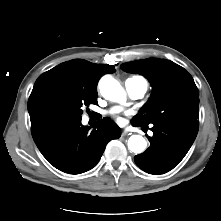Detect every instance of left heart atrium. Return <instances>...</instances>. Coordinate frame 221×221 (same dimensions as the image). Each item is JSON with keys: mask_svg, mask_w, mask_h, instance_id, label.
Segmentation results:
<instances>
[{"mask_svg": "<svg viewBox=\"0 0 221 221\" xmlns=\"http://www.w3.org/2000/svg\"><path fill=\"white\" fill-rule=\"evenodd\" d=\"M118 121H121V118L120 117H117Z\"/></svg>", "mask_w": 221, "mask_h": 221, "instance_id": "39dd6f15", "label": "left heart atrium"}]
</instances>
